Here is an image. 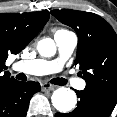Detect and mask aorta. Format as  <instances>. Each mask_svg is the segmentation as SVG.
Wrapping results in <instances>:
<instances>
[{
	"instance_id": "obj_1",
	"label": "aorta",
	"mask_w": 117,
	"mask_h": 117,
	"mask_svg": "<svg viewBox=\"0 0 117 117\" xmlns=\"http://www.w3.org/2000/svg\"><path fill=\"white\" fill-rule=\"evenodd\" d=\"M37 50L43 57H52L56 53L55 42L50 38L42 39L37 45ZM51 101L59 112L68 113L75 107L77 96L71 89L60 87L53 92Z\"/></svg>"
}]
</instances>
